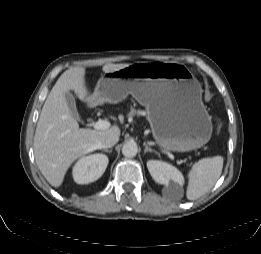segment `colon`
Instances as JSON below:
<instances>
[{
  "instance_id": "colon-1",
  "label": "colon",
  "mask_w": 261,
  "mask_h": 254,
  "mask_svg": "<svg viewBox=\"0 0 261 254\" xmlns=\"http://www.w3.org/2000/svg\"><path fill=\"white\" fill-rule=\"evenodd\" d=\"M222 127V121L219 120L217 123V130H219Z\"/></svg>"
}]
</instances>
